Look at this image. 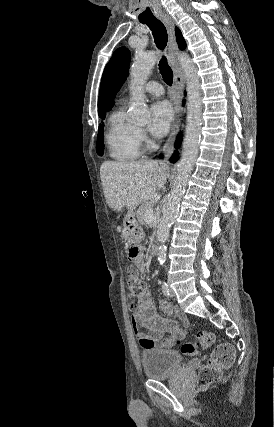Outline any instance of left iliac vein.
Returning <instances> with one entry per match:
<instances>
[{
    "mask_svg": "<svg viewBox=\"0 0 274 427\" xmlns=\"http://www.w3.org/2000/svg\"><path fill=\"white\" fill-rule=\"evenodd\" d=\"M170 293H171V297H175V292L173 291V289H170Z\"/></svg>",
    "mask_w": 274,
    "mask_h": 427,
    "instance_id": "left-iliac-vein-1",
    "label": "left iliac vein"
}]
</instances>
